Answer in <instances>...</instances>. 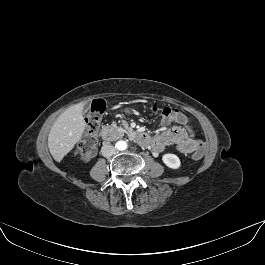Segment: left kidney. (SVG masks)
I'll list each match as a JSON object with an SVG mask.
<instances>
[{
    "mask_svg": "<svg viewBox=\"0 0 265 265\" xmlns=\"http://www.w3.org/2000/svg\"><path fill=\"white\" fill-rule=\"evenodd\" d=\"M162 161L167 167L171 169H178L181 166L180 159L175 154H164L162 157Z\"/></svg>",
    "mask_w": 265,
    "mask_h": 265,
    "instance_id": "left-kidney-1",
    "label": "left kidney"
}]
</instances>
